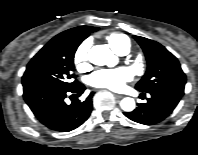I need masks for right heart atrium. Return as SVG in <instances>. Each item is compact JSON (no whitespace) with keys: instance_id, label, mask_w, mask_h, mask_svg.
I'll list each match as a JSON object with an SVG mask.
<instances>
[{"instance_id":"obj_1","label":"right heart atrium","mask_w":198,"mask_h":155,"mask_svg":"<svg viewBox=\"0 0 198 155\" xmlns=\"http://www.w3.org/2000/svg\"><path fill=\"white\" fill-rule=\"evenodd\" d=\"M89 48V41H85L75 51L74 63L80 71L86 70L89 66Z\"/></svg>"}]
</instances>
